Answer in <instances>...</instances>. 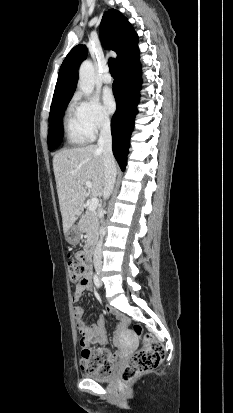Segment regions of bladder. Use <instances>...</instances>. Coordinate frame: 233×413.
<instances>
[{
    "mask_svg": "<svg viewBox=\"0 0 233 413\" xmlns=\"http://www.w3.org/2000/svg\"><path fill=\"white\" fill-rule=\"evenodd\" d=\"M112 373H108L106 375H101V374H97V373H87L85 374V377L92 379L94 381H98V382H108L111 380L112 378Z\"/></svg>",
    "mask_w": 233,
    "mask_h": 413,
    "instance_id": "bladder-1",
    "label": "bladder"
}]
</instances>
